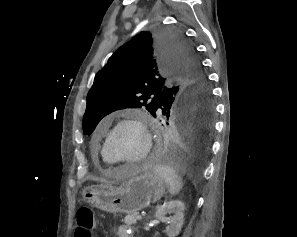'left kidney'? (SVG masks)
Instances as JSON below:
<instances>
[{"instance_id": "1", "label": "left kidney", "mask_w": 297, "mask_h": 237, "mask_svg": "<svg viewBox=\"0 0 297 237\" xmlns=\"http://www.w3.org/2000/svg\"><path fill=\"white\" fill-rule=\"evenodd\" d=\"M184 210L185 205L180 200H171L165 202L156 212V218L168 224L166 227V233L168 237H176L179 235L183 223H184ZM173 214L171 217H167V214Z\"/></svg>"}]
</instances>
